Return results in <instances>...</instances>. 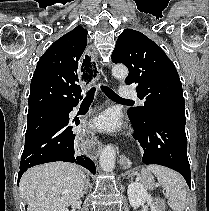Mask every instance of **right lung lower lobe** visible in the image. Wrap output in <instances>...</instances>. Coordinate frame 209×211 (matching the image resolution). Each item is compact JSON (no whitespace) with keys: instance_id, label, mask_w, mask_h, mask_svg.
Masks as SVG:
<instances>
[{"instance_id":"98d812e1","label":"right lung lower lobe","mask_w":209,"mask_h":211,"mask_svg":"<svg viewBox=\"0 0 209 211\" xmlns=\"http://www.w3.org/2000/svg\"><path fill=\"white\" fill-rule=\"evenodd\" d=\"M77 104L66 109V113L57 122L42 131L32 141L25 144L18 173V183L22 174L30 167L53 161H66L79 164L95 174L96 168L93 161L78 155L74 150L75 134L72 132L74 125L79 121H69V113Z\"/></svg>"}]
</instances>
